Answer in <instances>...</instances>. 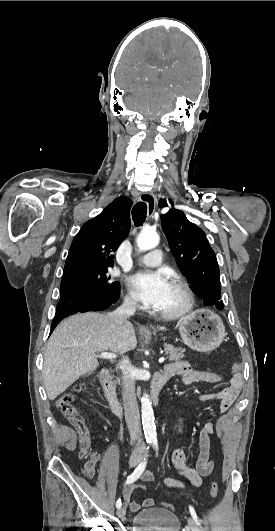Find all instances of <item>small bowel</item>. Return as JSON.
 <instances>
[{
  "mask_svg": "<svg viewBox=\"0 0 275 531\" xmlns=\"http://www.w3.org/2000/svg\"><path fill=\"white\" fill-rule=\"evenodd\" d=\"M165 372H167L170 377L179 376L181 378L182 384L189 386L197 383H211L218 384L223 381L222 375L209 372V371H200L194 370L191 366L185 361H176L166 365ZM242 386V375L240 373H235L232 375L229 385L222 389L219 392L211 393L205 392L200 394L199 399L202 402H209L213 400L220 399V411L222 413L228 411L235 401L238 398ZM215 425L214 422L209 420L205 422L198 434V453L196 460L194 462V468L189 466L190 457L187 451L183 448L175 449L170 455V465L173 470L185 477L193 486L199 487L202 485V479L209 476L212 473L214 468V460L211 456V442L210 435L214 432ZM178 434H182L184 427L181 422L178 423L176 427ZM81 448V447H80ZM89 449V448H88ZM88 452V450H87ZM87 454V453H86ZM89 459L100 460V455L97 452H93L90 455ZM86 478H93L94 475H84ZM140 479L143 482H151L154 480V476L150 471H144L141 474ZM164 484L170 488L182 489L185 487V484L174 478L166 477L163 480ZM135 491V485H128L123 488L122 498L126 504L129 506V510L132 513H137L141 510L142 507L150 508L153 506V500L146 498L141 503L132 500V495Z\"/></svg>",
  "mask_w": 275,
  "mask_h": 531,
  "instance_id": "c3829d8e",
  "label": "small bowel"
}]
</instances>
